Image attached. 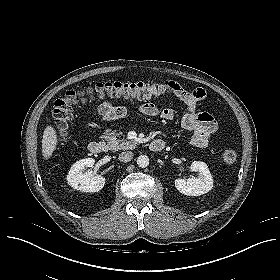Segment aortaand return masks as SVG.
Instances as JSON below:
<instances>
[{"instance_id": "aorta-1", "label": "aorta", "mask_w": 280, "mask_h": 280, "mask_svg": "<svg viewBox=\"0 0 280 280\" xmlns=\"http://www.w3.org/2000/svg\"><path fill=\"white\" fill-rule=\"evenodd\" d=\"M137 164L139 167L141 168H145L149 165V158L148 156L146 155H140L138 158H137Z\"/></svg>"}]
</instances>
